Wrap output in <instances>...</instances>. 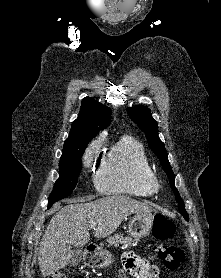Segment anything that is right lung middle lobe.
Returning a JSON list of instances; mask_svg holds the SVG:
<instances>
[{"label":"right lung middle lobe","instance_id":"dd1d6c3e","mask_svg":"<svg viewBox=\"0 0 221 278\" xmlns=\"http://www.w3.org/2000/svg\"><path fill=\"white\" fill-rule=\"evenodd\" d=\"M87 145L88 143L70 149L66 152L63 151L59 164L60 176L49 196L48 208H50L54 202L69 196L76 187L78 176L82 168L80 158L82 157Z\"/></svg>","mask_w":221,"mask_h":278}]
</instances>
